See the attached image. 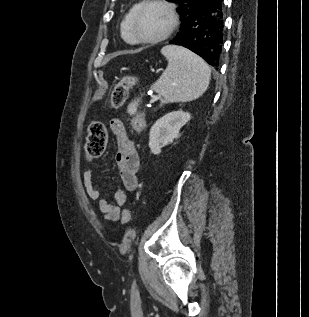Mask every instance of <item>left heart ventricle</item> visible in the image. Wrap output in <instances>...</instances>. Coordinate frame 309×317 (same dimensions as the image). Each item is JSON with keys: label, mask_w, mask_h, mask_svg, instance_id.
I'll return each mask as SVG.
<instances>
[{"label": "left heart ventricle", "mask_w": 309, "mask_h": 317, "mask_svg": "<svg viewBox=\"0 0 309 317\" xmlns=\"http://www.w3.org/2000/svg\"><path fill=\"white\" fill-rule=\"evenodd\" d=\"M170 16L167 10L161 6L153 5L145 8L137 23V28L141 36L154 38L168 28Z\"/></svg>", "instance_id": "1"}]
</instances>
